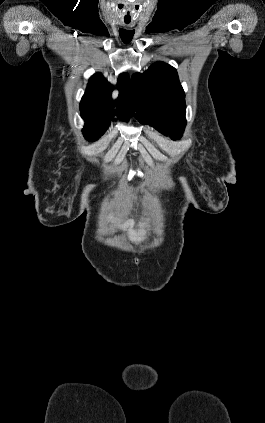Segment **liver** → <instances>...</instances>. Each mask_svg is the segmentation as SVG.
I'll list each match as a JSON object with an SVG mask.
<instances>
[{"mask_svg": "<svg viewBox=\"0 0 265 423\" xmlns=\"http://www.w3.org/2000/svg\"><path fill=\"white\" fill-rule=\"evenodd\" d=\"M123 228L127 231L128 238L132 242L138 244L139 242H141L144 239V234H145L144 230L133 229V223L131 221L126 222L123 225Z\"/></svg>", "mask_w": 265, "mask_h": 423, "instance_id": "liver-1", "label": "liver"}]
</instances>
